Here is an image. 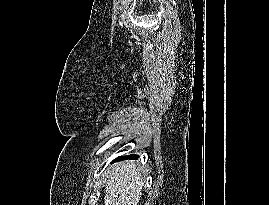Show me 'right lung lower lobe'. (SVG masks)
<instances>
[{"label": "right lung lower lobe", "mask_w": 269, "mask_h": 205, "mask_svg": "<svg viewBox=\"0 0 269 205\" xmlns=\"http://www.w3.org/2000/svg\"><path fill=\"white\" fill-rule=\"evenodd\" d=\"M138 155H130L128 157L120 156L116 160H124V159H137Z\"/></svg>", "instance_id": "right-lung-lower-lobe-1"}]
</instances>
